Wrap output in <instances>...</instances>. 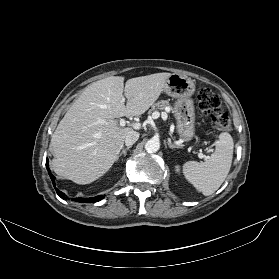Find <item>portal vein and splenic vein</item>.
<instances>
[{
	"label": "portal vein and splenic vein",
	"mask_w": 279,
	"mask_h": 279,
	"mask_svg": "<svg viewBox=\"0 0 279 279\" xmlns=\"http://www.w3.org/2000/svg\"><path fill=\"white\" fill-rule=\"evenodd\" d=\"M160 116V114L158 113V112H155V113H153V118L154 119H157L158 117ZM163 119H166V116L164 115L163 116ZM99 123H105V121L104 120H99ZM126 120H124V119H120V121H119V125L121 126V127H124L125 125H126ZM131 126L134 128V129H140L141 128V124L140 123H133V124H131ZM198 157L199 158H205L206 156L205 155H203L202 153H199L198 154Z\"/></svg>",
	"instance_id": "18ae733b"
}]
</instances>
